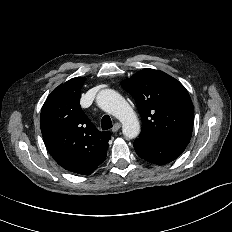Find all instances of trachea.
<instances>
[{"instance_id": "1", "label": "trachea", "mask_w": 232, "mask_h": 232, "mask_svg": "<svg viewBox=\"0 0 232 232\" xmlns=\"http://www.w3.org/2000/svg\"><path fill=\"white\" fill-rule=\"evenodd\" d=\"M102 130H108L112 128V121L109 115H104L101 120Z\"/></svg>"}]
</instances>
